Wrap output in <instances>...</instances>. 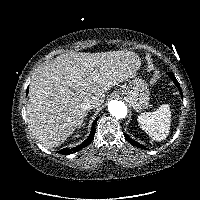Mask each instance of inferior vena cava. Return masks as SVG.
I'll use <instances>...</instances> for the list:
<instances>
[{
    "label": "inferior vena cava",
    "instance_id": "obj_1",
    "mask_svg": "<svg viewBox=\"0 0 200 200\" xmlns=\"http://www.w3.org/2000/svg\"><path fill=\"white\" fill-rule=\"evenodd\" d=\"M81 107L83 110L88 111L94 107L93 101L91 99H85L82 102Z\"/></svg>",
    "mask_w": 200,
    "mask_h": 200
}]
</instances>
